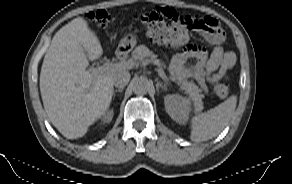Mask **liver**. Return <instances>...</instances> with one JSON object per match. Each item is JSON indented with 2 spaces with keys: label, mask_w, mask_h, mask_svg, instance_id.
<instances>
[{
  "label": "liver",
  "mask_w": 292,
  "mask_h": 184,
  "mask_svg": "<svg viewBox=\"0 0 292 184\" xmlns=\"http://www.w3.org/2000/svg\"><path fill=\"white\" fill-rule=\"evenodd\" d=\"M102 54L98 37L83 17L63 26L45 54L40 72L43 105L51 123L68 139L83 137L109 108L113 77L123 70H86L89 60Z\"/></svg>",
  "instance_id": "6515ba94"
}]
</instances>
